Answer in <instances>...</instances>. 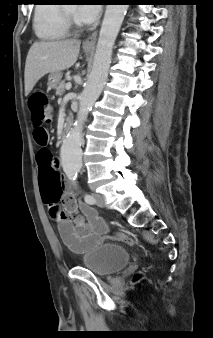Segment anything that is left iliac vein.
<instances>
[{
	"instance_id": "left-iliac-vein-1",
	"label": "left iliac vein",
	"mask_w": 213,
	"mask_h": 338,
	"mask_svg": "<svg viewBox=\"0 0 213 338\" xmlns=\"http://www.w3.org/2000/svg\"><path fill=\"white\" fill-rule=\"evenodd\" d=\"M95 198L96 205L99 207H104L105 206V200L102 194L100 193H94L93 194Z\"/></svg>"
}]
</instances>
